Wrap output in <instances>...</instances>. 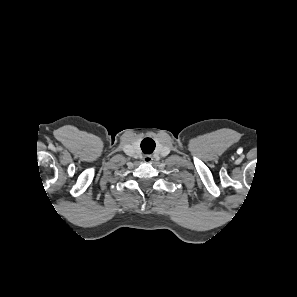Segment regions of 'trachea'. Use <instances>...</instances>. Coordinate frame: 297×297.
<instances>
[{
	"instance_id": "obj_1",
	"label": "trachea",
	"mask_w": 297,
	"mask_h": 297,
	"mask_svg": "<svg viewBox=\"0 0 297 297\" xmlns=\"http://www.w3.org/2000/svg\"><path fill=\"white\" fill-rule=\"evenodd\" d=\"M154 148L155 142L150 138H146L141 142V149L144 153H152Z\"/></svg>"
}]
</instances>
